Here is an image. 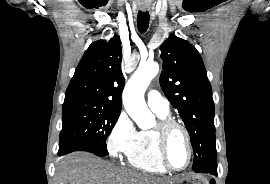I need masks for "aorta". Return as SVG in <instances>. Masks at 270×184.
<instances>
[{
	"label": "aorta",
	"instance_id": "762f6f07",
	"mask_svg": "<svg viewBox=\"0 0 270 184\" xmlns=\"http://www.w3.org/2000/svg\"><path fill=\"white\" fill-rule=\"evenodd\" d=\"M158 71L156 62L141 63L123 91L125 110L141 129H149L155 124V116L145 103L144 93Z\"/></svg>",
	"mask_w": 270,
	"mask_h": 184
}]
</instances>
